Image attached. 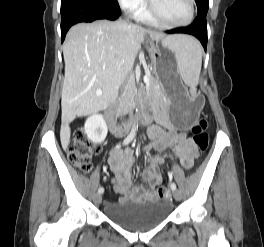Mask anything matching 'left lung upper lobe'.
Here are the masks:
<instances>
[{
    "instance_id": "5c2ea615",
    "label": "left lung upper lobe",
    "mask_w": 264,
    "mask_h": 247,
    "mask_svg": "<svg viewBox=\"0 0 264 247\" xmlns=\"http://www.w3.org/2000/svg\"><path fill=\"white\" fill-rule=\"evenodd\" d=\"M195 2L198 8V15L206 16L209 8V0H195Z\"/></svg>"
}]
</instances>
